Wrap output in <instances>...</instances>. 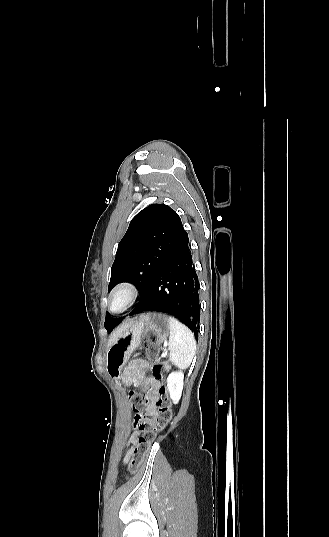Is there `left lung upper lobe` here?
<instances>
[{
    "mask_svg": "<svg viewBox=\"0 0 329 537\" xmlns=\"http://www.w3.org/2000/svg\"><path fill=\"white\" fill-rule=\"evenodd\" d=\"M187 239L180 217L169 206L146 207L132 219L118 245L109 291L118 283L130 282L140 290L141 300L163 263ZM121 320L107 313L104 326L110 332Z\"/></svg>",
    "mask_w": 329,
    "mask_h": 537,
    "instance_id": "1",
    "label": "left lung upper lobe"
}]
</instances>
